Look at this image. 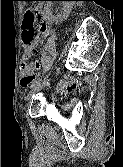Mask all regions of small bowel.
Instances as JSON below:
<instances>
[{"instance_id":"small-bowel-1","label":"small bowel","mask_w":123,"mask_h":167,"mask_svg":"<svg viewBox=\"0 0 123 167\" xmlns=\"http://www.w3.org/2000/svg\"><path fill=\"white\" fill-rule=\"evenodd\" d=\"M51 36V31L46 28L43 37H49ZM39 68L38 64H30L28 66H25L21 69L20 71V75H21V79H20V85L23 89H27L31 83H34L36 77H37V73L35 72L36 69ZM59 89H64L66 91H72L75 89H78V87L74 84H71L69 82V80L65 79L63 81L60 82V84L58 85Z\"/></svg>"}]
</instances>
